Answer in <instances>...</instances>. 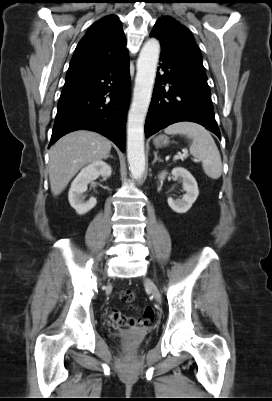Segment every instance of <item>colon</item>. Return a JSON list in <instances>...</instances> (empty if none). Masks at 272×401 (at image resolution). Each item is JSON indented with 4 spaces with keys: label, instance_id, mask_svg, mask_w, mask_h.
Wrapping results in <instances>:
<instances>
[{
    "label": "colon",
    "instance_id": "obj_1",
    "mask_svg": "<svg viewBox=\"0 0 272 401\" xmlns=\"http://www.w3.org/2000/svg\"><path fill=\"white\" fill-rule=\"evenodd\" d=\"M121 299L130 303L134 300V294L131 290H123L121 292ZM155 317V311L152 306H146L142 318L127 317L116 309L111 310L110 319L117 327L134 328L150 324Z\"/></svg>",
    "mask_w": 272,
    "mask_h": 401
}]
</instances>
